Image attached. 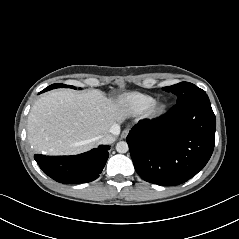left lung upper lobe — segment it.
I'll return each instance as SVG.
<instances>
[{"mask_svg":"<svg viewBox=\"0 0 239 239\" xmlns=\"http://www.w3.org/2000/svg\"><path fill=\"white\" fill-rule=\"evenodd\" d=\"M163 90L174 93L177 96V103L205 93L204 90L189 82H181L176 85L164 87Z\"/></svg>","mask_w":239,"mask_h":239,"instance_id":"obj_1","label":"left lung upper lobe"}]
</instances>
